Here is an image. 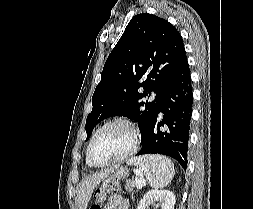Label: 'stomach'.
Returning a JSON list of instances; mask_svg holds the SVG:
<instances>
[{"instance_id": "obj_1", "label": "stomach", "mask_w": 253, "mask_h": 209, "mask_svg": "<svg viewBox=\"0 0 253 209\" xmlns=\"http://www.w3.org/2000/svg\"><path fill=\"white\" fill-rule=\"evenodd\" d=\"M126 176H128V171H118V168H116V171L106 177L101 185L95 189L94 197L96 202L101 203L105 197V192H111V190L117 188L118 185L116 182H122L123 179H126Z\"/></svg>"}]
</instances>
